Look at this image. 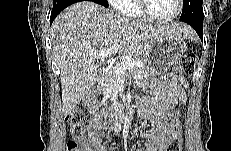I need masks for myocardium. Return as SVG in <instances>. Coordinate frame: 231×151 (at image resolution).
Listing matches in <instances>:
<instances>
[{
    "instance_id": "1",
    "label": "myocardium",
    "mask_w": 231,
    "mask_h": 151,
    "mask_svg": "<svg viewBox=\"0 0 231 151\" xmlns=\"http://www.w3.org/2000/svg\"><path fill=\"white\" fill-rule=\"evenodd\" d=\"M182 5H183L182 0H176V11L172 15L165 17V18H157V17H154V16L149 14V12L147 10L146 0H138L137 1V8H138L140 15L145 20L152 22V23H169V22H172L173 20H175L179 16V14L182 10Z\"/></svg>"
}]
</instances>
